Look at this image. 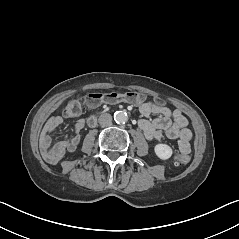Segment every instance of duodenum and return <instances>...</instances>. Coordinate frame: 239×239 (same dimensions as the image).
<instances>
[{
	"instance_id": "1",
	"label": "duodenum",
	"mask_w": 239,
	"mask_h": 239,
	"mask_svg": "<svg viewBox=\"0 0 239 239\" xmlns=\"http://www.w3.org/2000/svg\"><path fill=\"white\" fill-rule=\"evenodd\" d=\"M96 119H97L96 115L91 116V117L88 119V125H89V126H94L95 123H96Z\"/></svg>"
}]
</instances>
